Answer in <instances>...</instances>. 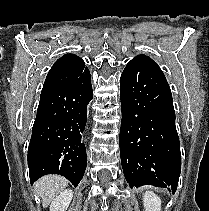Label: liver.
<instances>
[{"label":"liver","mask_w":209,"mask_h":211,"mask_svg":"<svg viewBox=\"0 0 209 211\" xmlns=\"http://www.w3.org/2000/svg\"><path fill=\"white\" fill-rule=\"evenodd\" d=\"M67 185L68 181L62 176L46 175L40 178L35 183V191L42 199V206L47 207Z\"/></svg>","instance_id":"obj_1"}]
</instances>
